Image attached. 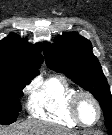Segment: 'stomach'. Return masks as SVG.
I'll list each match as a JSON object with an SVG mask.
<instances>
[{"label":"stomach","mask_w":112,"mask_h":135,"mask_svg":"<svg viewBox=\"0 0 112 135\" xmlns=\"http://www.w3.org/2000/svg\"><path fill=\"white\" fill-rule=\"evenodd\" d=\"M80 135H91V134H80Z\"/></svg>","instance_id":"1"}]
</instances>
